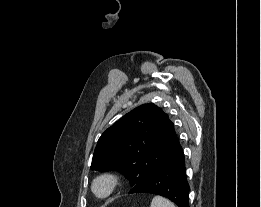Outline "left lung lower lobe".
Wrapping results in <instances>:
<instances>
[{
    "label": "left lung lower lobe",
    "mask_w": 261,
    "mask_h": 207,
    "mask_svg": "<svg viewBox=\"0 0 261 207\" xmlns=\"http://www.w3.org/2000/svg\"><path fill=\"white\" fill-rule=\"evenodd\" d=\"M129 193L156 194L168 198L178 207H189V184L183 150L174 160L137 183Z\"/></svg>",
    "instance_id": "obj_1"
}]
</instances>
